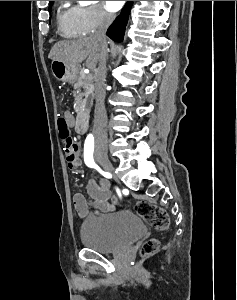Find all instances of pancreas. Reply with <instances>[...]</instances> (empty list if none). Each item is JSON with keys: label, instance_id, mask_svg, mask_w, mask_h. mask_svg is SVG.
Masks as SVG:
<instances>
[{"label": "pancreas", "instance_id": "cf45deb5", "mask_svg": "<svg viewBox=\"0 0 237 300\" xmlns=\"http://www.w3.org/2000/svg\"><path fill=\"white\" fill-rule=\"evenodd\" d=\"M84 69L80 71L79 77L76 79V83H74V89H83L84 93H79L77 97H75L74 101V111L78 113L80 117H88L90 109H87V103H91V97L93 93L94 87V75H87V73H83ZM86 97V99H83Z\"/></svg>", "mask_w": 237, "mask_h": 300}]
</instances>
